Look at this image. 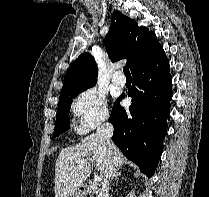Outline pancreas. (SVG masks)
<instances>
[{
	"mask_svg": "<svg viewBox=\"0 0 209 197\" xmlns=\"http://www.w3.org/2000/svg\"><path fill=\"white\" fill-rule=\"evenodd\" d=\"M90 191L92 192V194H96V195H98L99 193L97 186H94V185L90 186Z\"/></svg>",
	"mask_w": 209,
	"mask_h": 197,
	"instance_id": "cf45deb5",
	"label": "pancreas"
}]
</instances>
